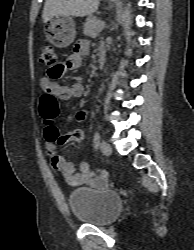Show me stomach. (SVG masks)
Returning <instances> with one entry per match:
<instances>
[{"label":"stomach","instance_id":"0dacf381","mask_svg":"<svg viewBox=\"0 0 194 250\" xmlns=\"http://www.w3.org/2000/svg\"><path fill=\"white\" fill-rule=\"evenodd\" d=\"M50 43L59 48L68 47L76 37V26L73 18L66 15L53 16L45 28Z\"/></svg>","mask_w":194,"mask_h":250}]
</instances>
